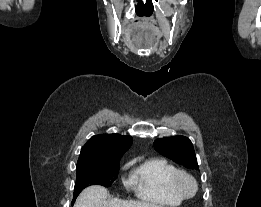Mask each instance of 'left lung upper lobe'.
<instances>
[{"label":"left lung upper lobe","instance_id":"5c2ea615","mask_svg":"<svg viewBox=\"0 0 261 207\" xmlns=\"http://www.w3.org/2000/svg\"><path fill=\"white\" fill-rule=\"evenodd\" d=\"M155 149L163 156L187 168L198 169L192 142L185 136L158 138L154 142Z\"/></svg>","mask_w":261,"mask_h":207}]
</instances>
